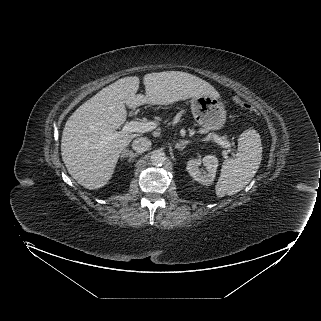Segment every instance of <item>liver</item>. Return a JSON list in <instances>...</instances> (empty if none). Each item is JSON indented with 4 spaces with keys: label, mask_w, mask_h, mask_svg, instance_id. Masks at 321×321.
Instances as JSON below:
<instances>
[{
    "label": "liver",
    "mask_w": 321,
    "mask_h": 321,
    "mask_svg": "<svg viewBox=\"0 0 321 321\" xmlns=\"http://www.w3.org/2000/svg\"><path fill=\"white\" fill-rule=\"evenodd\" d=\"M145 95L137 76L125 77L103 88L67 120L61 155L69 174L83 187L95 190L112 177L120 153L139 134L116 130L124 124L129 108L144 104L168 105L180 100L219 93L208 82L180 71L146 74Z\"/></svg>",
    "instance_id": "liver-1"
}]
</instances>
